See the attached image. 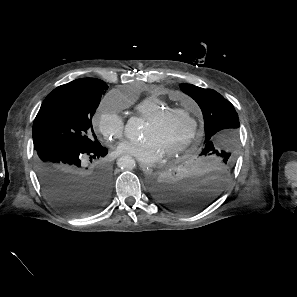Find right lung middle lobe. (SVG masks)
<instances>
[{
    "instance_id": "1",
    "label": "right lung middle lobe",
    "mask_w": 297,
    "mask_h": 297,
    "mask_svg": "<svg viewBox=\"0 0 297 297\" xmlns=\"http://www.w3.org/2000/svg\"><path fill=\"white\" fill-rule=\"evenodd\" d=\"M107 89L101 80L98 83L72 81L54 89L34 120V148L51 141H64L86 150L100 146L92 118Z\"/></svg>"
}]
</instances>
